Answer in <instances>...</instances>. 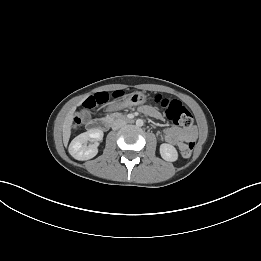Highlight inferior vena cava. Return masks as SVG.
Masks as SVG:
<instances>
[{
  "label": "inferior vena cava",
  "instance_id": "602c4592",
  "mask_svg": "<svg viewBox=\"0 0 261 261\" xmlns=\"http://www.w3.org/2000/svg\"><path fill=\"white\" fill-rule=\"evenodd\" d=\"M126 125V121L123 119H118L116 121H114V123L112 124V129L113 130H118L119 128L123 127Z\"/></svg>",
  "mask_w": 261,
  "mask_h": 261
}]
</instances>
